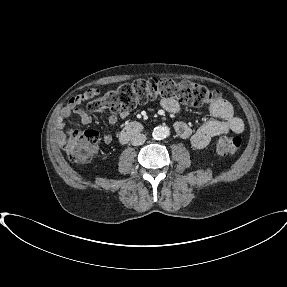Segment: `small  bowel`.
<instances>
[{
  "label": "small bowel",
  "instance_id": "small-bowel-1",
  "mask_svg": "<svg viewBox=\"0 0 287 287\" xmlns=\"http://www.w3.org/2000/svg\"><path fill=\"white\" fill-rule=\"evenodd\" d=\"M97 94V90L92 89L72 97L67 105L62 109L56 120L57 135L63 140L70 130L66 128V120L73 115L79 117L82 124L86 125L92 122V117L79 108L87 99ZM162 107L171 113H177L181 110V105L173 99H164L161 102ZM208 111L215 119L205 122L197 130L193 131L184 121H177L174 124L176 134L189 141L196 149H202L208 145L211 138L228 132L241 133L244 130V124L241 118L234 114V110L229 101L219 98L215 103L209 106ZM129 112L122 111L118 114H111L108 117L110 124H116L119 120L128 118ZM103 141L107 144L112 142L111 135H104Z\"/></svg>",
  "mask_w": 287,
  "mask_h": 287
}]
</instances>
